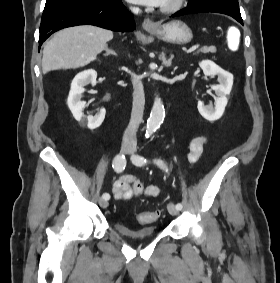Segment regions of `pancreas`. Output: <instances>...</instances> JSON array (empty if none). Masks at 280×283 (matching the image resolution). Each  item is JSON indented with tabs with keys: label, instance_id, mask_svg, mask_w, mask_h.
<instances>
[{
	"label": "pancreas",
	"instance_id": "obj_1",
	"mask_svg": "<svg viewBox=\"0 0 280 283\" xmlns=\"http://www.w3.org/2000/svg\"><path fill=\"white\" fill-rule=\"evenodd\" d=\"M200 51L204 54L216 53V48L214 46H204L200 49Z\"/></svg>",
	"mask_w": 280,
	"mask_h": 283
}]
</instances>
